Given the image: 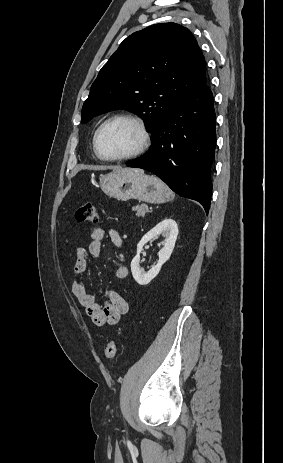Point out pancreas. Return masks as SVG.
<instances>
[{
  "mask_svg": "<svg viewBox=\"0 0 283 463\" xmlns=\"http://www.w3.org/2000/svg\"><path fill=\"white\" fill-rule=\"evenodd\" d=\"M132 210L136 212L138 217H144L149 212L148 207L144 204L133 206Z\"/></svg>",
  "mask_w": 283,
  "mask_h": 463,
  "instance_id": "cf45deb5",
  "label": "pancreas"
}]
</instances>
